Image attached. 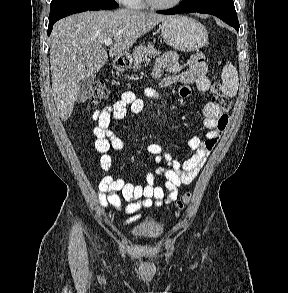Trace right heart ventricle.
<instances>
[{"mask_svg":"<svg viewBox=\"0 0 288 293\" xmlns=\"http://www.w3.org/2000/svg\"><path fill=\"white\" fill-rule=\"evenodd\" d=\"M128 6L133 9H142L144 8L145 4H144V0H131L128 3Z\"/></svg>","mask_w":288,"mask_h":293,"instance_id":"right-heart-ventricle-1","label":"right heart ventricle"}]
</instances>
